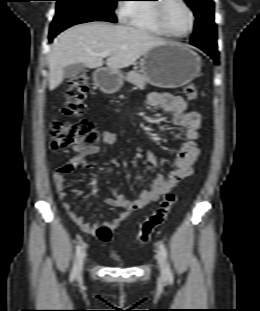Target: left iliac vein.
<instances>
[{
  "label": "left iliac vein",
  "mask_w": 260,
  "mask_h": 311,
  "mask_svg": "<svg viewBox=\"0 0 260 311\" xmlns=\"http://www.w3.org/2000/svg\"><path fill=\"white\" fill-rule=\"evenodd\" d=\"M156 258L158 261L160 272H161L162 276L165 277L166 276V268H165V262H164L162 254L160 252H157Z\"/></svg>",
  "instance_id": "4c4485c4"
}]
</instances>
